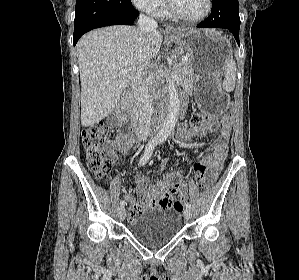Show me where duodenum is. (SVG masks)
I'll list each match as a JSON object with an SVG mask.
<instances>
[{"label": "duodenum", "mask_w": 299, "mask_h": 280, "mask_svg": "<svg viewBox=\"0 0 299 280\" xmlns=\"http://www.w3.org/2000/svg\"><path fill=\"white\" fill-rule=\"evenodd\" d=\"M165 109L166 107L164 105L160 107L149 125V133L153 134L159 129L163 121ZM117 117L118 127L121 132L138 138L143 136L141 129L133 121L131 92H125L122 95V98L117 106Z\"/></svg>", "instance_id": "410a0bca"}]
</instances>
